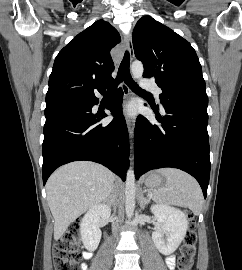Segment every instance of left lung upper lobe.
<instances>
[{
    "instance_id": "5c2ea615",
    "label": "left lung upper lobe",
    "mask_w": 242,
    "mask_h": 270,
    "mask_svg": "<svg viewBox=\"0 0 242 270\" xmlns=\"http://www.w3.org/2000/svg\"><path fill=\"white\" fill-rule=\"evenodd\" d=\"M132 41L143 77L154 78L162 89L163 106L208 105L201 64L188 41L150 16L137 22Z\"/></svg>"
}]
</instances>
